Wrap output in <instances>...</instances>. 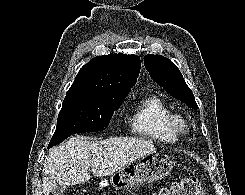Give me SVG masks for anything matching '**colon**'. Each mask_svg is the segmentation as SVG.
<instances>
[{"label": "colon", "mask_w": 245, "mask_h": 195, "mask_svg": "<svg viewBox=\"0 0 245 195\" xmlns=\"http://www.w3.org/2000/svg\"><path fill=\"white\" fill-rule=\"evenodd\" d=\"M204 191L200 181L196 178H185L173 182L169 187L163 188L159 195H203Z\"/></svg>", "instance_id": "1"}]
</instances>
